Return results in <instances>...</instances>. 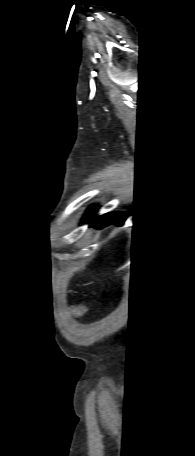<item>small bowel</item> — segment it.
I'll return each instance as SVG.
<instances>
[{"instance_id":"c3829d8e","label":"small bowel","mask_w":195,"mask_h":456,"mask_svg":"<svg viewBox=\"0 0 195 456\" xmlns=\"http://www.w3.org/2000/svg\"><path fill=\"white\" fill-rule=\"evenodd\" d=\"M72 311L76 315H81L85 312V308L81 305H78V306L73 307Z\"/></svg>"}]
</instances>
